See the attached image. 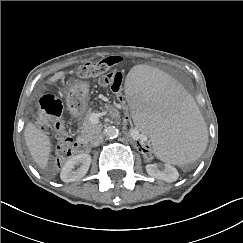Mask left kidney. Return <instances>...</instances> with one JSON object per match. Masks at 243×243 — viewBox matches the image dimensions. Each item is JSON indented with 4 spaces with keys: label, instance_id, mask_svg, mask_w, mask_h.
<instances>
[{
    "label": "left kidney",
    "instance_id": "left-kidney-1",
    "mask_svg": "<svg viewBox=\"0 0 243 243\" xmlns=\"http://www.w3.org/2000/svg\"><path fill=\"white\" fill-rule=\"evenodd\" d=\"M164 170H160L157 164L146 165V172L151 176L159 180L166 182H174L178 179L179 173L175 167L166 163Z\"/></svg>",
    "mask_w": 243,
    "mask_h": 243
}]
</instances>
